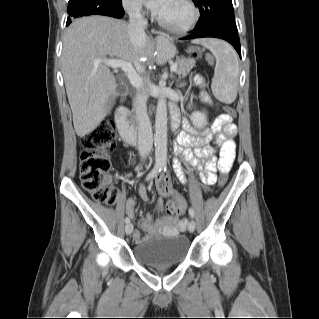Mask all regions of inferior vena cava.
Instances as JSON below:
<instances>
[{
	"mask_svg": "<svg viewBox=\"0 0 319 319\" xmlns=\"http://www.w3.org/2000/svg\"><path fill=\"white\" fill-rule=\"evenodd\" d=\"M142 6L138 3L129 5L127 12L129 15V36L134 49L142 51L146 42L145 28L147 21L141 13ZM136 70L143 73L145 68L137 60L135 63ZM147 96L138 92L134 99V108L138 121V150L141 158H145L153 147V133L151 122L147 113Z\"/></svg>",
	"mask_w": 319,
	"mask_h": 319,
	"instance_id": "1",
	"label": "inferior vena cava"
}]
</instances>
